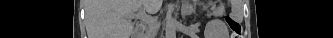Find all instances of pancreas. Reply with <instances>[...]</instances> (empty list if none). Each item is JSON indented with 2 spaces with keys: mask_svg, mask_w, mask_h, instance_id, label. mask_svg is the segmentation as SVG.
I'll return each mask as SVG.
<instances>
[{
  "mask_svg": "<svg viewBox=\"0 0 333 38\" xmlns=\"http://www.w3.org/2000/svg\"><path fill=\"white\" fill-rule=\"evenodd\" d=\"M156 26L155 23L152 25H149L147 29V35L151 36L155 32Z\"/></svg>",
  "mask_w": 333,
  "mask_h": 38,
  "instance_id": "obj_1",
  "label": "pancreas"
}]
</instances>
